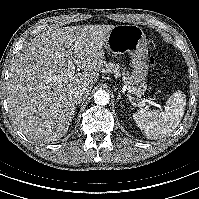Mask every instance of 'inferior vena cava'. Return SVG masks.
<instances>
[{"label":"inferior vena cava","mask_w":199,"mask_h":199,"mask_svg":"<svg viewBox=\"0 0 199 199\" xmlns=\"http://www.w3.org/2000/svg\"><path fill=\"white\" fill-rule=\"evenodd\" d=\"M86 90L85 88L78 86L70 90L69 98L74 103H80L85 100Z\"/></svg>","instance_id":"inferior-vena-cava-1"}]
</instances>
